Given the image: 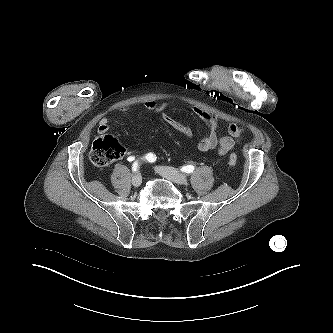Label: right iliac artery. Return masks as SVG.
Wrapping results in <instances>:
<instances>
[{"label":"right iliac artery","instance_id":"1","mask_svg":"<svg viewBox=\"0 0 333 333\" xmlns=\"http://www.w3.org/2000/svg\"><path fill=\"white\" fill-rule=\"evenodd\" d=\"M143 159L152 163L156 161V156L153 153H148L143 157ZM138 168H139V162L138 160H136L132 165V171L136 172Z\"/></svg>","mask_w":333,"mask_h":333}]
</instances>
